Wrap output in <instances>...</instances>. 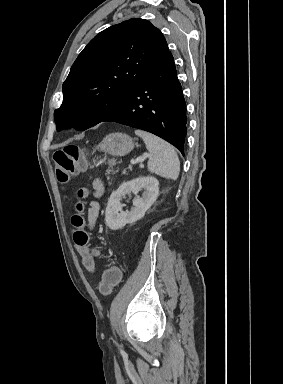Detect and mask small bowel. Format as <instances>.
<instances>
[{
  "label": "small bowel",
  "instance_id": "c3829d8e",
  "mask_svg": "<svg viewBox=\"0 0 283 384\" xmlns=\"http://www.w3.org/2000/svg\"><path fill=\"white\" fill-rule=\"evenodd\" d=\"M94 196L100 197L104 192V184L100 179L93 182ZM99 214V204L97 201H92L88 210V228L92 230L95 226ZM76 249L82 258V264L88 271H94L95 261L90 248L86 246L76 245Z\"/></svg>",
  "mask_w": 283,
  "mask_h": 384
}]
</instances>
